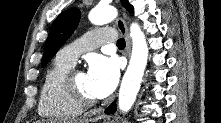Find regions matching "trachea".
Wrapping results in <instances>:
<instances>
[{"label":"trachea","instance_id":"3493384b","mask_svg":"<svg viewBox=\"0 0 221 123\" xmlns=\"http://www.w3.org/2000/svg\"><path fill=\"white\" fill-rule=\"evenodd\" d=\"M117 46L118 47H125V40L123 38H120L118 41H117Z\"/></svg>","mask_w":221,"mask_h":123}]
</instances>
